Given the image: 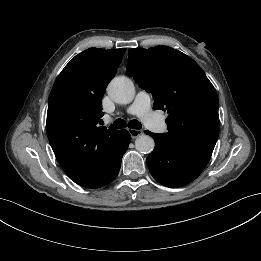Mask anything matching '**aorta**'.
Masks as SVG:
<instances>
[{"label": "aorta", "mask_w": 261, "mask_h": 261, "mask_svg": "<svg viewBox=\"0 0 261 261\" xmlns=\"http://www.w3.org/2000/svg\"><path fill=\"white\" fill-rule=\"evenodd\" d=\"M107 92L116 103L129 104L134 99L135 87L129 78L119 76L109 83ZM154 146V140L149 135H141L135 140V147L140 153H151Z\"/></svg>", "instance_id": "aorta-1"}]
</instances>
